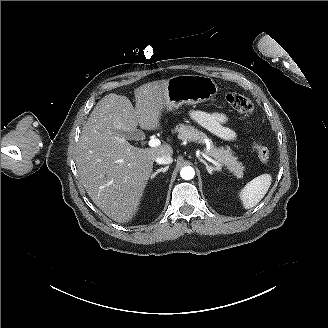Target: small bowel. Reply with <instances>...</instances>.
Here are the masks:
<instances>
[{
	"label": "small bowel",
	"instance_id": "obj_1",
	"mask_svg": "<svg viewBox=\"0 0 328 328\" xmlns=\"http://www.w3.org/2000/svg\"><path fill=\"white\" fill-rule=\"evenodd\" d=\"M189 116L203 128L224 140L232 141L237 137L236 132L227 126L228 116L224 113L191 110Z\"/></svg>",
	"mask_w": 328,
	"mask_h": 328
}]
</instances>
